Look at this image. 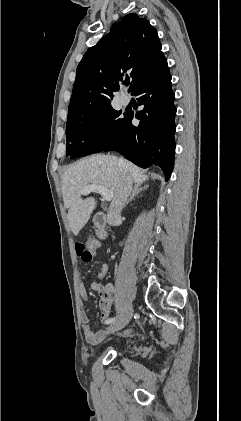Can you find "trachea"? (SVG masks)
I'll return each instance as SVG.
<instances>
[{"label":"trachea","instance_id":"trachea-1","mask_svg":"<svg viewBox=\"0 0 241 421\" xmlns=\"http://www.w3.org/2000/svg\"><path fill=\"white\" fill-rule=\"evenodd\" d=\"M126 85H129V81L125 83Z\"/></svg>","mask_w":241,"mask_h":421}]
</instances>
